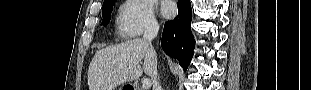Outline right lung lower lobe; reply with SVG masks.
I'll return each mask as SVG.
<instances>
[{
  "instance_id": "1",
  "label": "right lung lower lobe",
  "mask_w": 311,
  "mask_h": 90,
  "mask_svg": "<svg viewBox=\"0 0 311 90\" xmlns=\"http://www.w3.org/2000/svg\"><path fill=\"white\" fill-rule=\"evenodd\" d=\"M192 9L190 0H178V16L165 23L161 46L172 58L179 60L186 70L193 56L194 36L190 30Z\"/></svg>"
}]
</instances>
